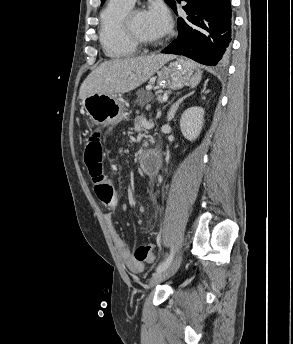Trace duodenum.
I'll return each instance as SVG.
<instances>
[{
  "label": "duodenum",
  "mask_w": 293,
  "mask_h": 344,
  "mask_svg": "<svg viewBox=\"0 0 293 344\" xmlns=\"http://www.w3.org/2000/svg\"><path fill=\"white\" fill-rule=\"evenodd\" d=\"M157 155H158V158L153 161L151 159V156H150L149 152H142V153H140L138 155V157H137L138 165L141 166V167H145V166H147V164L149 162H153L155 170L156 171L159 170L160 167H161V157H160V153H157Z\"/></svg>",
  "instance_id": "duodenum-1"
}]
</instances>
